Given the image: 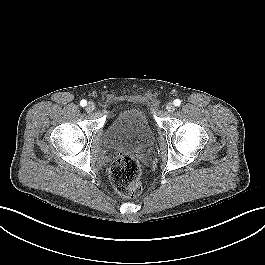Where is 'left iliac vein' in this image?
<instances>
[{"label": "left iliac vein", "instance_id": "4c4485c4", "mask_svg": "<svg viewBox=\"0 0 265 265\" xmlns=\"http://www.w3.org/2000/svg\"><path fill=\"white\" fill-rule=\"evenodd\" d=\"M166 110H167L168 112H173V111L175 110V106H174V104H173L172 102H168V103L166 104Z\"/></svg>", "mask_w": 265, "mask_h": 265}]
</instances>
